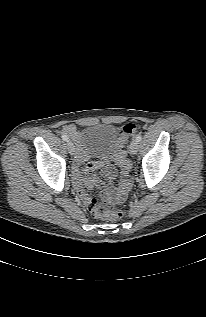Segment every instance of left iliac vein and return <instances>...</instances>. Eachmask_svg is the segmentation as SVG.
<instances>
[{
    "mask_svg": "<svg viewBox=\"0 0 206 317\" xmlns=\"http://www.w3.org/2000/svg\"><path fill=\"white\" fill-rule=\"evenodd\" d=\"M138 142L136 140H133L130 144V152L132 154H136L138 152Z\"/></svg>",
    "mask_w": 206,
    "mask_h": 317,
    "instance_id": "left-iliac-vein-1",
    "label": "left iliac vein"
}]
</instances>
